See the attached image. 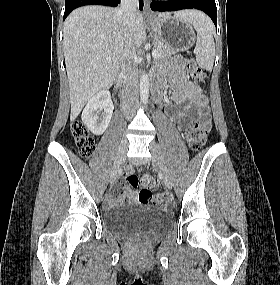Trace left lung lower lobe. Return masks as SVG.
<instances>
[{
    "instance_id": "left-lung-lower-lobe-1",
    "label": "left lung lower lobe",
    "mask_w": 280,
    "mask_h": 285,
    "mask_svg": "<svg viewBox=\"0 0 280 285\" xmlns=\"http://www.w3.org/2000/svg\"><path fill=\"white\" fill-rule=\"evenodd\" d=\"M153 11H177L182 9H198L204 11L217 25V8L215 0H169L151 3Z\"/></svg>"
}]
</instances>
